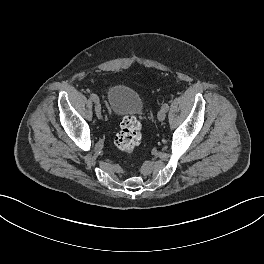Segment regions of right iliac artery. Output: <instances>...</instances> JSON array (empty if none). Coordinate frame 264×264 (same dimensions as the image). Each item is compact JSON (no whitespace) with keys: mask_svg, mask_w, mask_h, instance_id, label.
Wrapping results in <instances>:
<instances>
[{"mask_svg":"<svg viewBox=\"0 0 264 264\" xmlns=\"http://www.w3.org/2000/svg\"><path fill=\"white\" fill-rule=\"evenodd\" d=\"M90 98L94 101V102H99V98L96 94H91Z\"/></svg>","mask_w":264,"mask_h":264,"instance_id":"82829eb1","label":"right iliac artery"}]
</instances>
